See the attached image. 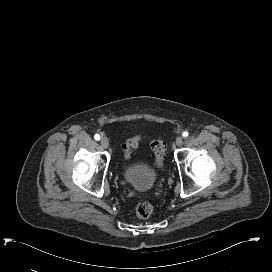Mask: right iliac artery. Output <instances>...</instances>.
<instances>
[{
    "mask_svg": "<svg viewBox=\"0 0 272 272\" xmlns=\"http://www.w3.org/2000/svg\"><path fill=\"white\" fill-rule=\"evenodd\" d=\"M94 138H95V140H100V135L99 134H95Z\"/></svg>",
    "mask_w": 272,
    "mask_h": 272,
    "instance_id": "obj_1",
    "label": "right iliac artery"
}]
</instances>
